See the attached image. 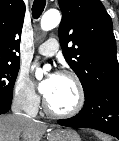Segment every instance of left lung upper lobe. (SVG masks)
Wrapping results in <instances>:
<instances>
[{
	"instance_id": "obj_1",
	"label": "left lung upper lobe",
	"mask_w": 119,
	"mask_h": 141,
	"mask_svg": "<svg viewBox=\"0 0 119 141\" xmlns=\"http://www.w3.org/2000/svg\"><path fill=\"white\" fill-rule=\"evenodd\" d=\"M60 45L67 63L79 77L85 97L119 84V64L111 17L100 0H59ZM72 47H68L69 43Z\"/></svg>"
}]
</instances>
